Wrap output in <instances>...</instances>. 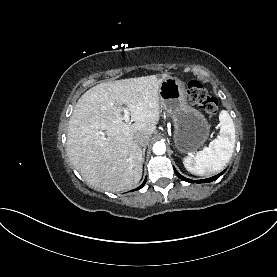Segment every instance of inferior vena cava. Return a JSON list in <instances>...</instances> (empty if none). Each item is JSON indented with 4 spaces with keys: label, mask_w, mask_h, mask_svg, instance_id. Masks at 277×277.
I'll use <instances>...</instances> for the list:
<instances>
[{
    "label": "inferior vena cava",
    "mask_w": 277,
    "mask_h": 277,
    "mask_svg": "<svg viewBox=\"0 0 277 277\" xmlns=\"http://www.w3.org/2000/svg\"><path fill=\"white\" fill-rule=\"evenodd\" d=\"M135 141L140 146L145 147L149 143V136H147L143 133H138L135 135Z\"/></svg>",
    "instance_id": "602c4592"
}]
</instances>
